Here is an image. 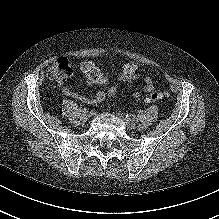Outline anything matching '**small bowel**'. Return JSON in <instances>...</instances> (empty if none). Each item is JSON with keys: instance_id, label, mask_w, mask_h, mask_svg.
I'll return each instance as SVG.
<instances>
[{"instance_id": "obj_1", "label": "small bowel", "mask_w": 219, "mask_h": 219, "mask_svg": "<svg viewBox=\"0 0 219 219\" xmlns=\"http://www.w3.org/2000/svg\"><path fill=\"white\" fill-rule=\"evenodd\" d=\"M80 69L85 77V82L87 85L93 86V85L103 84L97 80V76L102 73L93 62L87 61L82 63ZM122 78L125 80L142 79L145 84V92L149 93L154 90L153 81L149 76L140 75L137 72L131 77H124L122 74ZM62 93L67 97L79 100L87 104H98L101 101H103L106 96L104 92H97L91 97H85L78 93L73 92L68 86L62 87ZM134 96L137 98L139 97V94L135 93Z\"/></svg>"}]
</instances>
